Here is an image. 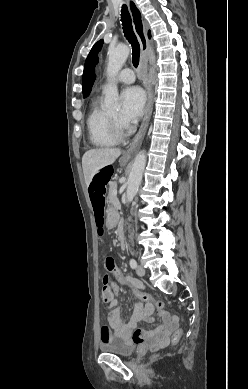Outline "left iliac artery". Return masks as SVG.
I'll return each instance as SVG.
<instances>
[{"instance_id": "1", "label": "left iliac artery", "mask_w": 248, "mask_h": 389, "mask_svg": "<svg viewBox=\"0 0 248 389\" xmlns=\"http://www.w3.org/2000/svg\"><path fill=\"white\" fill-rule=\"evenodd\" d=\"M130 266L132 269H135L137 267V262L135 259H130V262H129Z\"/></svg>"}]
</instances>
